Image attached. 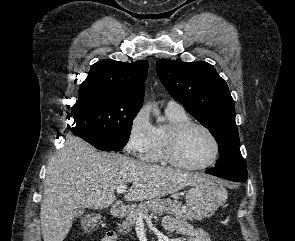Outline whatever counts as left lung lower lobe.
<instances>
[{
	"instance_id": "obj_1",
	"label": "left lung lower lobe",
	"mask_w": 295,
	"mask_h": 241,
	"mask_svg": "<svg viewBox=\"0 0 295 241\" xmlns=\"http://www.w3.org/2000/svg\"><path fill=\"white\" fill-rule=\"evenodd\" d=\"M205 173H207V174H211V175H215V176H218V177H221V176H219L218 174L211 172L210 170H206ZM221 178H222V177H221ZM232 181H238V180H232ZM240 182H241V181H240Z\"/></svg>"
}]
</instances>
